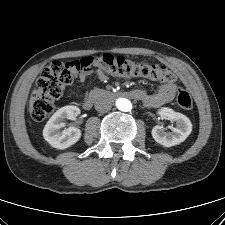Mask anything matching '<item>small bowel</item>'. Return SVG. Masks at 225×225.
Returning a JSON list of instances; mask_svg holds the SVG:
<instances>
[{"instance_id": "c3829d8e", "label": "small bowel", "mask_w": 225, "mask_h": 225, "mask_svg": "<svg viewBox=\"0 0 225 225\" xmlns=\"http://www.w3.org/2000/svg\"><path fill=\"white\" fill-rule=\"evenodd\" d=\"M95 76L101 81H105L108 78V75L101 69H73L72 70V77L75 80H78L80 82L86 81L88 78ZM177 86L173 83H166L162 84L157 92L153 94H149L144 90H137L136 96L138 99L143 101V103L148 107H158L163 104H166L170 102L176 92H177Z\"/></svg>"}]
</instances>
